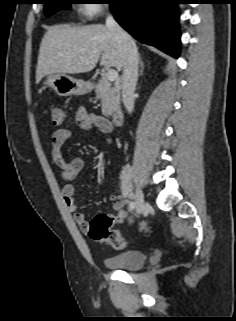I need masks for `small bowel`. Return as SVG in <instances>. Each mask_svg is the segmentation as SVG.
Returning <instances> with one entry per match:
<instances>
[{
    "label": "small bowel",
    "instance_id": "small-bowel-1",
    "mask_svg": "<svg viewBox=\"0 0 236 321\" xmlns=\"http://www.w3.org/2000/svg\"><path fill=\"white\" fill-rule=\"evenodd\" d=\"M77 121L79 125L85 129L97 128L101 132L110 134L113 130L112 123L105 117L97 115L95 113L87 112L85 110H79L77 112ZM72 135V127L70 125H65L57 129L51 138L52 144V158L54 163L60 168L61 176L66 181L62 187V196L66 208L71 213H74L75 223L83 230L87 231L88 221L85 218V215L78 213V201L76 198V188L71 181L77 177L84 167V162L81 158H71L68 159L64 157L62 152V147L67 139ZM107 142H111V139L108 138ZM127 192L124 191L121 185V193L114 194L111 196V202L113 208L116 211H120L126 202ZM123 217V216H122ZM122 220V218H121Z\"/></svg>",
    "mask_w": 236,
    "mask_h": 321
}]
</instances>
